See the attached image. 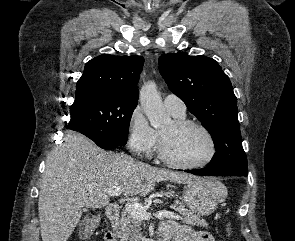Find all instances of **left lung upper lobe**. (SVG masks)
<instances>
[{"label": "left lung upper lobe", "mask_w": 295, "mask_h": 241, "mask_svg": "<svg viewBox=\"0 0 295 241\" xmlns=\"http://www.w3.org/2000/svg\"><path fill=\"white\" fill-rule=\"evenodd\" d=\"M158 62L169 89L212 136L216 153L207 167L246 176L248 164L241 145L237 99L219 64L212 58L183 52L163 54Z\"/></svg>", "instance_id": "1"}]
</instances>
